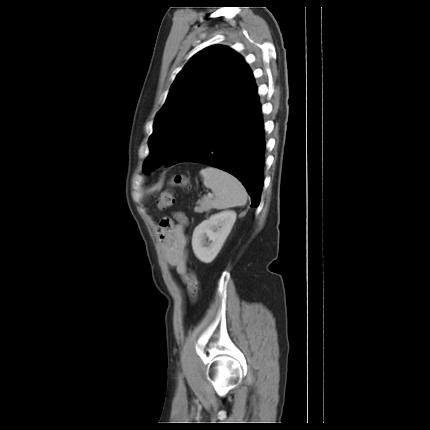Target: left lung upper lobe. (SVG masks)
I'll return each instance as SVG.
<instances>
[{
    "mask_svg": "<svg viewBox=\"0 0 430 430\" xmlns=\"http://www.w3.org/2000/svg\"><path fill=\"white\" fill-rule=\"evenodd\" d=\"M256 91L250 68L235 51L211 46L198 52L177 75L156 116L143 172L169 161V150L184 151L198 127L233 115Z\"/></svg>",
    "mask_w": 430,
    "mask_h": 430,
    "instance_id": "5c2ea615",
    "label": "left lung upper lobe"
}]
</instances>
